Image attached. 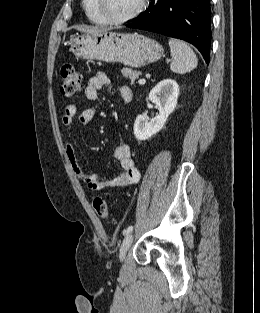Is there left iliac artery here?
I'll use <instances>...</instances> for the list:
<instances>
[{
    "label": "left iliac artery",
    "instance_id": "1",
    "mask_svg": "<svg viewBox=\"0 0 260 313\" xmlns=\"http://www.w3.org/2000/svg\"><path fill=\"white\" fill-rule=\"evenodd\" d=\"M133 226L131 225V226H129L127 229H125L124 231H123V234L124 235H126V234H128L129 232H131L132 230H133Z\"/></svg>",
    "mask_w": 260,
    "mask_h": 313
}]
</instances>
